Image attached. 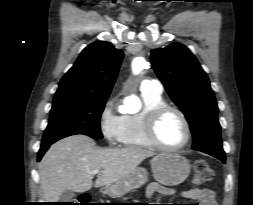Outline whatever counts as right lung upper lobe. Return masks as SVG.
<instances>
[{
  "instance_id": "obj_1",
  "label": "right lung upper lobe",
  "mask_w": 253,
  "mask_h": 205,
  "mask_svg": "<svg viewBox=\"0 0 253 205\" xmlns=\"http://www.w3.org/2000/svg\"><path fill=\"white\" fill-rule=\"evenodd\" d=\"M123 59V52L109 42L87 46L62 78L54 101L108 98Z\"/></svg>"
}]
</instances>
